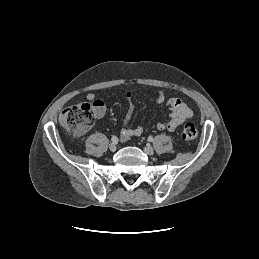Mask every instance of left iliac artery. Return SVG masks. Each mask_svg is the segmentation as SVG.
I'll list each match as a JSON object with an SVG mask.
<instances>
[{
    "instance_id": "left-iliac-artery-1",
    "label": "left iliac artery",
    "mask_w": 259,
    "mask_h": 259,
    "mask_svg": "<svg viewBox=\"0 0 259 259\" xmlns=\"http://www.w3.org/2000/svg\"><path fill=\"white\" fill-rule=\"evenodd\" d=\"M148 141H149V142H152V141H153V137H152V136H149V137H148Z\"/></svg>"
}]
</instances>
